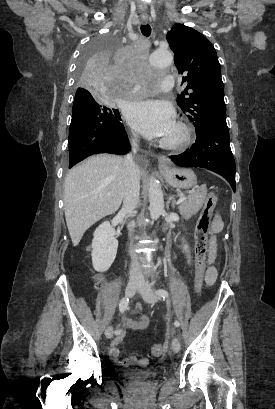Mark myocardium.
<instances>
[{"label": "myocardium", "mask_w": 275, "mask_h": 409, "mask_svg": "<svg viewBox=\"0 0 275 409\" xmlns=\"http://www.w3.org/2000/svg\"><path fill=\"white\" fill-rule=\"evenodd\" d=\"M174 127L176 129V135L170 139H160L158 142L160 147L170 150L178 149L189 141L190 129L185 123L178 121L174 124Z\"/></svg>", "instance_id": "f54148a6"}]
</instances>
